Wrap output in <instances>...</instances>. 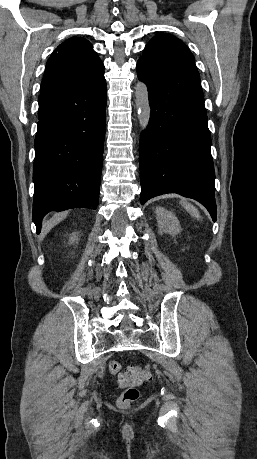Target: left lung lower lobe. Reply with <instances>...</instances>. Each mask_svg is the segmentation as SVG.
Returning a JSON list of instances; mask_svg holds the SVG:
<instances>
[{
  "instance_id": "1",
  "label": "left lung lower lobe",
  "mask_w": 257,
  "mask_h": 459,
  "mask_svg": "<svg viewBox=\"0 0 257 459\" xmlns=\"http://www.w3.org/2000/svg\"><path fill=\"white\" fill-rule=\"evenodd\" d=\"M137 75L148 87V128L139 143L141 203L178 193L202 203L216 220L211 137L194 60L141 56Z\"/></svg>"
}]
</instances>
